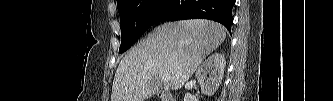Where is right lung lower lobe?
Listing matches in <instances>:
<instances>
[{
    "label": "right lung lower lobe",
    "mask_w": 333,
    "mask_h": 101,
    "mask_svg": "<svg viewBox=\"0 0 333 101\" xmlns=\"http://www.w3.org/2000/svg\"><path fill=\"white\" fill-rule=\"evenodd\" d=\"M235 0H169L159 22L204 18L223 24L230 31Z\"/></svg>",
    "instance_id": "obj_1"
}]
</instances>
